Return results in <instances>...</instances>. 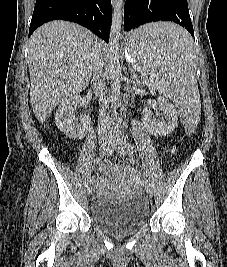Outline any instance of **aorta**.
Masks as SVG:
<instances>
[{
	"label": "aorta",
	"instance_id": "obj_1",
	"mask_svg": "<svg viewBox=\"0 0 227 267\" xmlns=\"http://www.w3.org/2000/svg\"><path fill=\"white\" fill-rule=\"evenodd\" d=\"M124 17V0H115L109 39V67L112 88V101L120 96L122 69L120 66L119 41Z\"/></svg>",
	"mask_w": 227,
	"mask_h": 267
}]
</instances>
